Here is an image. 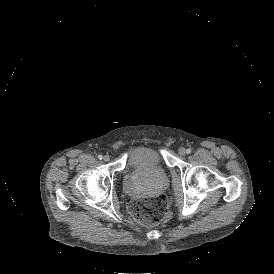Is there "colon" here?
Segmentation results:
<instances>
[{
	"label": "colon",
	"instance_id": "5ec220e1",
	"mask_svg": "<svg viewBox=\"0 0 274 274\" xmlns=\"http://www.w3.org/2000/svg\"><path fill=\"white\" fill-rule=\"evenodd\" d=\"M129 211L133 220L141 225H160L169 218L168 200L162 193L133 197Z\"/></svg>",
	"mask_w": 274,
	"mask_h": 274
}]
</instances>
